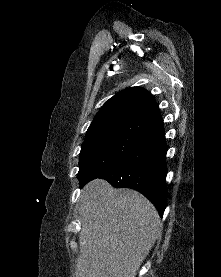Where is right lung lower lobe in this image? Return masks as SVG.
<instances>
[{
	"label": "right lung lower lobe",
	"mask_w": 221,
	"mask_h": 277,
	"mask_svg": "<svg viewBox=\"0 0 221 277\" xmlns=\"http://www.w3.org/2000/svg\"><path fill=\"white\" fill-rule=\"evenodd\" d=\"M140 125L145 131V136L135 148L119 164L97 177L80 182V185L82 187L92 179L102 178L114 187L132 188L146 196L162 216L167 195V144L159 110L145 115Z\"/></svg>",
	"instance_id": "right-lung-lower-lobe-1"
}]
</instances>
